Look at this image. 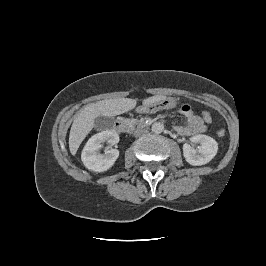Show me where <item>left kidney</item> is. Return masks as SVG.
<instances>
[{"label":"left kidney","instance_id":"obj_1","mask_svg":"<svg viewBox=\"0 0 266 266\" xmlns=\"http://www.w3.org/2000/svg\"><path fill=\"white\" fill-rule=\"evenodd\" d=\"M192 143H200L196 149L188 143L183 145L185 160L193 165L200 166L210 162L218 151V143L207 135H195L190 138Z\"/></svg>","mask_w":266,"mask_h":266}]
</instances>
